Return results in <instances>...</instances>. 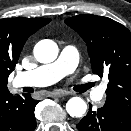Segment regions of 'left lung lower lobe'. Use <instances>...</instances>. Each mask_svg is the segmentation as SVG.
I'll list each match as a JSON object with an SVG mask.
<instances>
[{"instance_id":"left-lung-lower-lobe-1","label":"left lung lower lobe","mask_w":131,"mask_h":131,"mask_svg":"<svg viewBox=\"0 0 131 131\" xmlns=\"http://www.w3.org/2000/svg\"><path fill=\"white\" fill-rule=\"evenodd\" d=\"M76 128L78 131H131V113L108 102L97 111H92L90 105Z\"/></svg>"}]
</instances>
